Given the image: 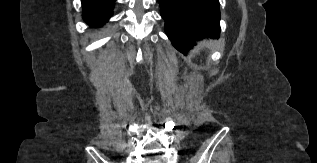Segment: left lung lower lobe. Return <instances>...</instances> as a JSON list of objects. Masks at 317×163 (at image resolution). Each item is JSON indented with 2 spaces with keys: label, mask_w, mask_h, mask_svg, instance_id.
I'll list each match as a JSON object with an SVG mask.
<instances>
[{
  "label": "left lung lower lobe",
  "mask_w": 317,
  "mask_h": 163,
  "mask_svg": "<svg viewBox=\"0 0 317 163\" xmlns=\"http://www.w3.org/2000/svg\"><path fill=\"white\" fill-rule=\"evenodd\" d=\"M165 20V32L182 53L197 40L219 38V0H157Z\"/></svg>",
  "instance_id": "1"
}]
</instances>
